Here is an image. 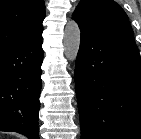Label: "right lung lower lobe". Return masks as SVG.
<instances>
[{
	"instance_id": "right-lung-lower-lobe-1",
	"label": "right lung lower lobe",
	"mask_w": 141,
	"mask_h": 139,
	"mask_svg": "<svg viewBox=\"0 0 141 139\" xmlns=\"http://www.w3.org/2000/svg\"><path fill=\"white\" fill-rule=\"evenodd\" d=\"M42 36L0 50V131L39 139Z\"/></svg>"
}]
</instances>
